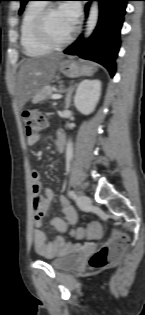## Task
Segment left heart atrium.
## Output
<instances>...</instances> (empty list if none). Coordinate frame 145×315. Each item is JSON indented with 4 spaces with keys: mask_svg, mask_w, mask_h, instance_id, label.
<instances>
[{
    "mask_svg": "<svg viewBox=\"0 0 145 315\" xmlns=\"http://www.w3.org/2000/svg\"><path fill=\"white\" fill-rule=\"evenodd\" d=\"M60 10L74 28L80 16L79 4L76 2H67L61 5Z\"/></svg>",
    "mask_w": 145,
    "mask_h": 315,
    "instance_id": "left-heart-atrium-1",
    "label": "left heart atrium"
}]
</instances>
